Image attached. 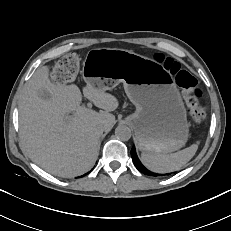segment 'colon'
Listing matches in <instances>:
<instances>
[{
	"label": "colon",
	"instance_id": "5ec220e1",
	"mask_svg": "<svg viewBox=\"0 0 231 231\" xmlns=\"http://www.w3.org/2000/svg\"><path fill=\"white\" fill-rule=\"evenodd\" d=\"M156 58L171 74L175 75L177 84L183 89L190 120L196 124L200 123L204 118L207 106L196 78L189 71L182 69L181 65L173 58L161 54ZM78 71L79 60L74 54L63 56L53 67V75L63 81L72 80Z\"/></svg>",
	"mask_w": 231,
	"mask_h": 231
}]
</instances>
